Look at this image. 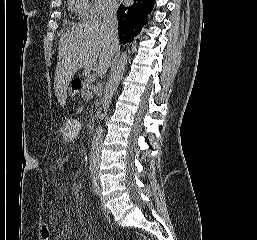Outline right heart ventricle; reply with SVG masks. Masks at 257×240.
<instances>
[{
  "mask_svg": "<svg viewBox=\"0 0 257 240\" xmlns=\"http://www.w3.org/2000/svg\"><path fill=\"white\" fill-rule=\"evenodd\" d=\"M70 7L80 17H87L90 9L89 0H70Z\"/></svg>",
  "mask_w": 257,
  "mask_h": 240,
  "instance_id": "e07e8e85",
  "label": "right heart ventricle"
}]
</instances>
